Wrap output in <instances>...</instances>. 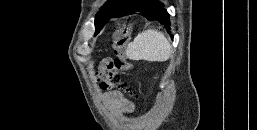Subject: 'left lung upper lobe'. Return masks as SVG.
<instances>
[{"instance_id":"obj_1","label":"left lung upper lobe","mask_w":257,"mask_h":130,"mask_svg":"<svg viewBox=\"0 0 257 130\" xmlns=\"http://www.w3.org/2000/svg\"><path fill=\"white\" fill-rule=\"evenodd\" d=\"M129 0H108L100 11L95 16V28L96 30L102 29L106 23L108 17L112 12L123 5H125ZM96 33V32H95Z\"/></svg>"}]
</instances>
